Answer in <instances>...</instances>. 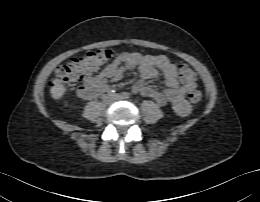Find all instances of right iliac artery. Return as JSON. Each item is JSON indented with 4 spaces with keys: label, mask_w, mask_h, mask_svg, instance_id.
<instances>
[{
    "label": "right iliac artery",
    "mask_w": 260,
    "mask_h": 202,
    "mask_svg": "<svg viewBox=\"0 0 260 202\" xmlns=\"http://www.w3.org/2000/svg\"><path fill=\"white\" fill-rule=\"evenodd\" d=\"M110 96H114L115 94H116V92L114 91V90H111V91H109V93H108Z\"/></svg>",
    "instance_id": "1"
}]
</instances>
